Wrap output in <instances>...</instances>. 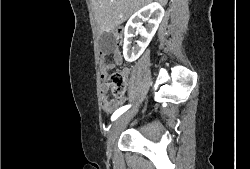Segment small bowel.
<instances>
[{
    "instance_id": "obj_1",
    "label": "small bowel",
    "mask_w": 250,
    "mask_h": 169,
    "mask_svg": "<svg viewBox=\"0 0 250 169\" xmlns=\"http://www.w3.org/2000/svg\"><path fill=\"white\" fill-rule=\"evenodd\" d=\"M112 54L114 57V64L109 63H102L101 65V77L103 79L102 84V96H103V110L107 114L113 113L115 110H117L121 104V100L118 99H111L109 97V83L107 82L108 75L110 71L113 69L115 64H121L122 63V55L120 51L117 48H114L112 50ZM123 74L126 76L129 74L128 69L123 70Z\"/></svg>"
}]
</instances>
